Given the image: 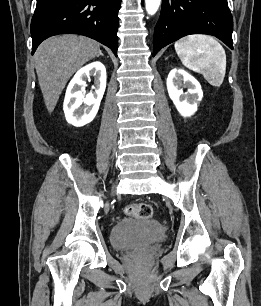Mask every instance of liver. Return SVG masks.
Listing matches in <instances>:
<instances>
[{
	"label": "liver",
	"mask_w": 261,
	"mask_h": 306,
	"mask_svg": "<svg viewBox=\"0 0 261 306\" xmlns=\"http://www.w3.org/2000/svg\"><path fill=\"white\" fill-rule=\"evenodd\" d=\"M100 53L99 43L73 34L50 37L39 45L34 55L35 68L49 113L70 77Z\"/></svg>",
	"instance_id": "liver-1"
}]
</instances>
